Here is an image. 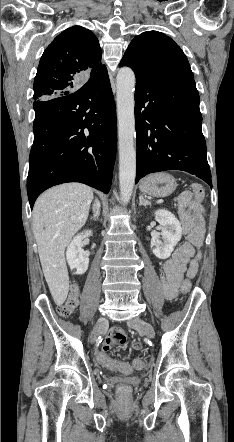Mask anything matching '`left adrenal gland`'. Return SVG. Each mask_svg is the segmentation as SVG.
Listing matches in <instances>:
<instances>
[{
  "label": "left adrenal gland",
  "mask_w": 234,
  "mask_h": 442,
  "mask_svg": "<svg viewBox=\"0 0 234 442\" xmlns=\"http://www.w3.org/2000/svg\"><path fill=\"white\" fill-rule=\"evenodd\" d=\"M139 205L140 206H151V202H149L147 199H144L143 195L139 196Z\"/></svg>",
  "instance_id": "1"
}]
</instances>
